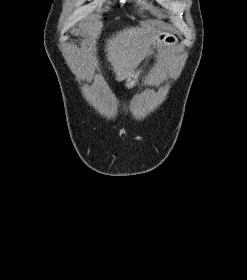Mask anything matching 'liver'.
Masks as SVG:
<instances>
[{
  "instance_id": "1",
  "label": "liver",
  "mask_w": 247,
  "mask_h": 280,
  "mask_svg": "<svg viewBox=\"0 0 247 280\" xmlns=\"http://www.w3.org/2000/svg\"><path fill=\"white\" fill-rule=\"evenodd\" d=\"M151 27H130L107 41V60L111 63L117 81L125 80L146 56Z\"/></svg>"
}]
</instances>
